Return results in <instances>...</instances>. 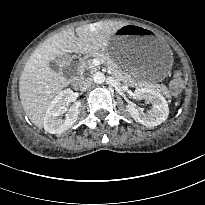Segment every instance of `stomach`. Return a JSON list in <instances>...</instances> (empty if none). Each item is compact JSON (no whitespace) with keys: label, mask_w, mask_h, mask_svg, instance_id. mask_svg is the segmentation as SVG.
Returning a JSON list of instances; mask_svg holds the SVG:
<instances>
[{"label":"stomach","mask_w":205,"mask_h":205,"mask_svg":"<svg viewBox=\"0 0 205 205\" xmlns=\"http://www.w3.org/2000/svg\"><path fill=\"white\" fill-rule=\"evenodd\" d=\"M120 70L139 82H160L173 64L172 52L165 40L150 28L125 24L102 48Z\"/></svg>","instance_id":"1"}]
</instances>
